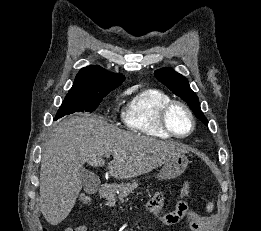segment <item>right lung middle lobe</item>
<instances>
[{
	"mask_svg": "<svg viewBox=\"0 0 261 231\" xmlns=\"http://www.w3.org/2000/svg\"><path fill=\"white\" fill-rule=\"evenodd\" d=\"M108 93H68L56 114L55 120L75 112H93Z\"/></svg>",
	"mask_w": 261,
	"mask_h": 231,
	"instance_id": "dd1d6c3e",
	"label": "right lung middle lobe"
}]
</instances>
